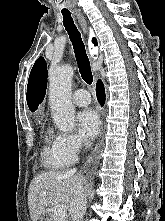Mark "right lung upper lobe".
I'll use <instances>...</instances> for the list:
<instances>
[{
  "mask_svg": "<svg viewBox=\"0 0 165 221\" xmlns=\"http://www.w3.org/2000/svg\"><path fill=\"white\" fill-rule=\"evenodd\" d=\"M92 42L97 46V40L93 38ZM47 87V66L43 57L36 60L29 75L27 86V104L32 112L36 111L38 105L42 102Z\"/></svg>",
  "mask_w": 165,
  "mask_h": 221,
  "instance_id": "right-lung-upper-lobe-1",
  "label": "right lung upper lobe"
}]
</instances>
